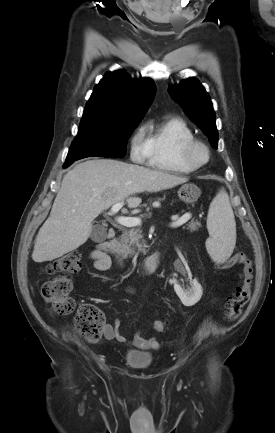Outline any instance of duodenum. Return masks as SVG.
<instances>
[{
	"instance_id": "duodenum-1",
	"label": "duodenum",
	"mask_w": 275,
	"mask_h": 433,
	"mask_svg": "<svg viewBox=\"0 0 275 433\" xmlns=\"http://www.w3.org/2000/svg\"><path fill=\"white\" fill-rule=\"evenodd\" d=\"M116 236V231L113 228L108 229L107 231V237L108 240L106 241H100L98 243V250L103 253L106 256L113 255V239ZM161 257L162 254L160 252H157L149 257H147L141 264H140V270L143 273H152L159 269L161 265ZM118 266H120V263L117 262Z\"/></svg>"
}]
</instances>
